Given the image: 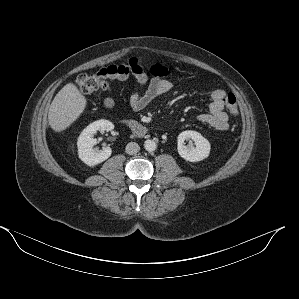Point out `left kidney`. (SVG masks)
Masks as SVG:
<instances>
[{"label": "left kidney", "mask_w": 299, "mask_h": 299, "mask_svg": "<svg viewBox=\"0 0 299 299\" xmlns=\"http://www.w3.org/2000/svg\"><path fill=\"white\" fill-rule=\"evenodd\" d=\"M189 141V145H185ZM194 141L195 147L192 146ZM210 143L200 133L192 130L183 131L177 137V150L179 155L189 162H199L209 156Z\"/></svg>", "instance_id": "1"}]
</instances>
